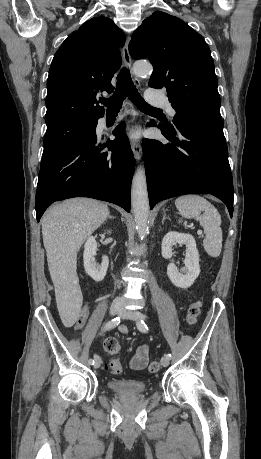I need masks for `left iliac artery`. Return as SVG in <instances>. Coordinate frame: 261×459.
Masks as SVG:
<instances>
[{"label": "left iliac artery", "instance_id": "obj_1", "mask_svg": "<svg viewBox=\"0 0 261 459\" xmlns=\"http://www.w3.org/2000/svg\"><path fill=\"white\" fill-rule=\"evenodd\" d=\"M137 327L143 333H146L149 330L148 326L146 325V323L143 320L137 322ZM166 356L170 359L171 354L168 353V354H166Z\"/></svg>", "mask_w": 261, "mask_h": 459}]
</instances>
